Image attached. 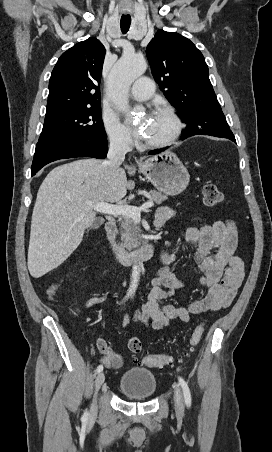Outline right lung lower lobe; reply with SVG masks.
Here are the masks:
<instances>
[{
	"label": "right lung lower lobe",
	"mask_w": 272,
	"mask_h": 452,
	"mask_svg": "<svg viewBox=\"0 0 272 452\" xmlns=\"http://www.w3.org/2000/svg\"><path fill=\"white\" fill-rule=\"evenodd\" d=\"M107 152V139L98 142L86 139L39 142L35 149L31 176L35 175L46 164L59 159L76 157L103 159Z\"/></svg>",
	"instance_id": "obj_1"
}]
</instances>
